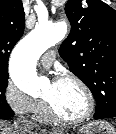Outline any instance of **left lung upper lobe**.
<instances>
[{
  "label": "left lung upper lobe",
  "instance_id": "1",
  "mask_svg": "<svg viewBox=\"0 0 116 134\" xmlns=\"http://www.w3.org/2000/svg\"><path fill=\"white\" fill-rule=\"evenodd\" d=\"M71 31L59 53L91 90L95 114L116 111V11L101 0H69Z\"/></svg>",
  "mask_w": 116,
  "mask_h": 134
}]
</instances>
